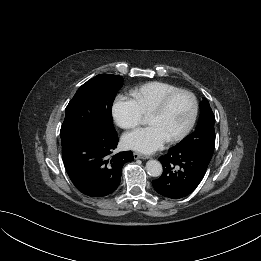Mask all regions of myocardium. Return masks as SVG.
<instances>
[{
	"label": "myocardium",
	"instance_id": "myocardium-1",
	"mask_svg": "<svg viewBox=\"0 0 261 261\" xmlns=\"http://www.w3.org/2000/svg\"><path fill=\"white\" fill-rule=\"evenodd\" d=\"M180 95H186V96H188L191 99V102H192V112H191L190 119H189L187 125L185 126V128L181 132H179L178 134L168 138V140L170 142H176V141H179V140L183 139L192 130V128H193V126H194V124L196 122L197 115H198V110H199V103H198V99H197L196 95L193 92L189 91V90L179 89V90L169 94L168 96H166L161 101V103L158 106H156L149 113V115L164 113L168 109V107L170 106L172 101L176 97H178Z\"/></svg>",
	"mask_w": 261,
	"mask_h": 261
}]
</instances>
